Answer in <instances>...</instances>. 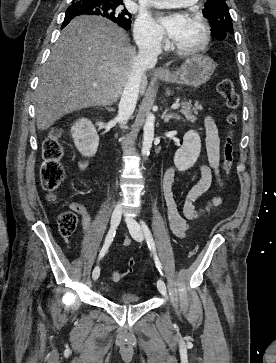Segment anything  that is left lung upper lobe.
I'll return each instance as SVG.
<instances>
[{
	"instance_id": "left-lung-upper-lobe-1",
	"label": "left lung upper lobe",
	"mask_w": 276,
	"mask_h": 363,
	"mask_svg": "<svg viewBox=\"0 0 276 363\" xmlns=\"http://www.w3.org/2000/svg\"><path fill=\"white\" fill-rule=\"evenodd\" d=\"M203 14L210 20L212 35L223 40L234 33L229 7L225 0H207Z\"/></svg>"
}]
</instances>
